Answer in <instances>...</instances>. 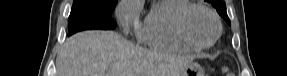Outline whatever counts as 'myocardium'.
<instances>
[{
    "label": "myocardium",
    "mask_w": 287,
    "mask_h": 76,
    "mask_svg": "<svg viewBox=\"0 0 287 76\" xmlns=\"http://www.w3.org/2000/svg\"><path fill=\"white\" fill-rule=\"evenodd\" d=\"M197 9L203 10L206 13H208L214 20L216 27H217V31H216L214 38L208 43L196 42L191 37L187 29L188 17L194 10H197ZM176 27L182 40L194 49H208L212 47L217 42V40L220 38L222 34V23L218 15L211 8L203 4L190 3L189 5L184 7L177 16Z\"/></svg>",
    "instance_id": "f54148a6"
}]
</instances>
